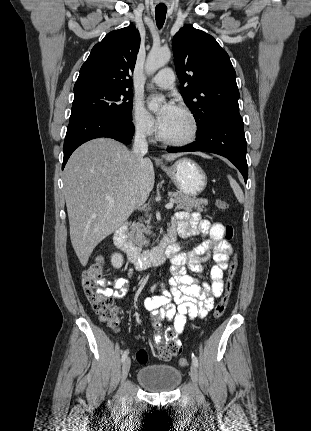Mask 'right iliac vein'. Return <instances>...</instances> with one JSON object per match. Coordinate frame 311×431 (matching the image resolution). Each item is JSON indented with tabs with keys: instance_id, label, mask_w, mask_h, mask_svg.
<instances>
[{
	"instance_id": "63e3f726",
	"label": "right iliac vein",
	"mask_w": 311,
	"mask_h": 431,
	"mask_svg": "<svg viewBox=\"0 0 311 431\" xmlns=\"http://www.w3.org/2000/svg\"><path fill=\"white\" fill-rule=\"evenodd\" d=\"M130 366H131V361L129 358H126V360L123 363L122 371H121L122 381H124L127 378L129 370H130Z\"/></svg>"
}]
</instances>
